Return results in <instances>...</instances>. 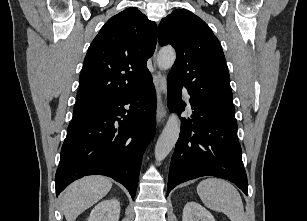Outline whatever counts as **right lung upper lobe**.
I'll return each mask as SVG.
<instances>
[{"label": "right lung upper lobe", "instance_id": "obj_1", "mask_svg": "<svg viewBox=\"0 0 307 221\" xmlns=\"http://www.w3.org/2000/svg\"><path fill=\"white\" fill-rule=\"evenodd\" d=\"M157 42V26L130 7L111 17L94 38L79 77L75 107L103 105L140 89Z\"/></svg>", "mask_w": 307, "mask_h": 221}]
</instances>
